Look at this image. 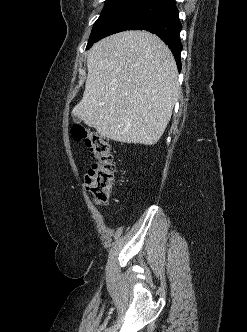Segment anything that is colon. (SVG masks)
I'll return each instance as SVG.
<instances>
[{
  "instance_id": "1",
  "label": "colon",
  "mask_w": 247,
  "mask_h": 332,
  "mask_svg": "<svg viewBox=\"0 0 247 332\" xmlns=\"http://www.w3.org/2000/svg\"><path fill=\"white\" fill-rule=\"evenodd\" d=\"M71 134L76 140L83 139L91 150L94 162L85 176V186L97 204H105L112 194L116 171L111 145L97 131L82 125L73 126Z\"/></svg>"
}]
</instances>
